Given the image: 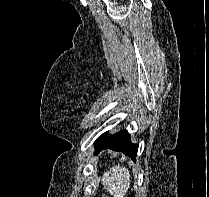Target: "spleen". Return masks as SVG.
Segmentation results:
<instances>
[{
	"label": "spleen",
	"instance_id": "1",
	"mask_svg": "<svg viewBox=\"0 0 209 197\" xmlns=\"http://www.w3.org/2000/svg\"><path fill=\"white\" fill-rule=\"evenodd\" d=\"M102 184L113 197H124L130 185V173L126 167L113 166L103 174Z\"/></svg>",
	"mask_w": 209,
	"mask_h": 197
}]
</instances>
